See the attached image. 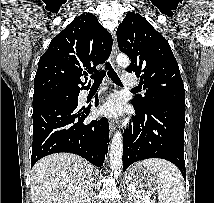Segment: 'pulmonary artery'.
<instances>
[{
  "mask_svg": "<svg viewBox=\"0 0 214 203\" xmlns=\"http://www.w3.org/2000/svg\"><path fill=\"white\" fill-rule=\"evenodd\" d=\"M122 83L125 86H129V87H134L138 85V81L134 77H132L131 73H125L122 75Z\"/></svg>",
  "mask_w": 214,
  "mask_h": 203,
  "instance_id": "1",
  "label": "pulmonary artery"
}]
</instances>
